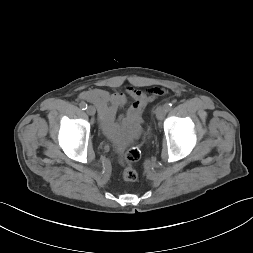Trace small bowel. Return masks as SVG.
I'll list each match as a JSON object with an SVG mask.
<instances>
[{
	"label": "small bowel",
	"mask_w": 253,
	"mask_h": 253,
	"mask_svg": "<svg viewBox=\"0 0 253 253\" xmlns=\"http://www.w3.org/2000/svg\"><path fill=\"white\" fill-rule=\"evenodd\" d=\"M161 93L162 91L157 88L145 92L129 87L126 93L94 88L83 91L80 99L92 103L97 108L102 130L122 151L126 146L124 130L130 136L136 135L144 108L149 101ZM128 100H131V103L126 113L117 119L118 111L127 104Z\"/></svg>",
	"instance_id": "c3829d8e"
}]
</instances>
